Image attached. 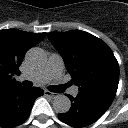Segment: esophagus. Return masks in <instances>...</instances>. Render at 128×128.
I'll use <instances>...</instances> for the list:
<instances>
[{
	"mask_svg": "<svg viewBox=\"0 0 128 128\" xmlns=\"http://www.w3.org/2000/svg\"><path fill=\"white\" fill-rule=\"evenodd\" d=\"M44 95L47 96V97H50V98H55L57 96L56 93L50 92L48 90L44 91Z\"/></svg>",
	"mask_w": 128,
	"mask_h": 128,
	"instance_id": "obj_1",
	"label": "esophagus"
}]
</instances>
